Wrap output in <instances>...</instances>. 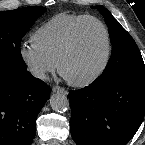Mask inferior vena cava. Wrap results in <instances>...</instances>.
<instances>
[{
  "label": "inferior vena cava",
  "mask_w": 145,
  "mask_h": 145,
  "mask_svg": "<svg viewBox=\"0 0 145 145\" xmlns=\"http://www.w3.org/2000/svg\"><path fill=\"white\" fill-rule=\"evenodd\" d=\"M31 73L34 77L40 78V79H46V75L44 71L40 68L34 67L31 69Z\"/></svg>",
  "instance_id": "obj_1"
}]
</instances>
